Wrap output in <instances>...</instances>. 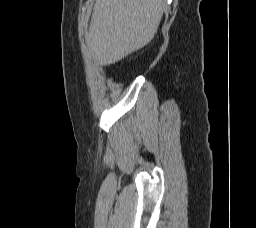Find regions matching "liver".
Instances as JSON below:
<instances>
[{
  "mask_svg": "<svg viewBox=\"0 0 256 228\" xmlns=\"http://www.w3.org/2000/svg\"><path fill=\"white\" fill-rule=\"evenodd\" d=\"M165 0H96L86 43L99 65L146 46L160 24Z\"/></svg>",
  "mask_w": 256,
  "mask_h": 228,
  "instance_id": "liver-1",
  "label": "liver"
}]
</instances>
